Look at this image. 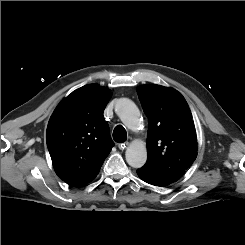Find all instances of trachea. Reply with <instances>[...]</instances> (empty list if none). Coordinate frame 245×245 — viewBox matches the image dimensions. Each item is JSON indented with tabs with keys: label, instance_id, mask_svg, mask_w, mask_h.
Masks as SVG:
<instances>
[{
	"label": "trachea",
	"instance_id": "obj_1",
	"mask_svg": "<svg viewBox=\"0 0 245 245\" xmlns=\"http://www.w3.org/2000/svg\"><path fill=\"white\" fill-rule=\"evenodd\" d=\"M113 139L117 143H123L127 140V132L122 125H117L113 131Z\"/></svg>",
	"mask_w": 245,
	"mask_h": 245
}]
</instances>
